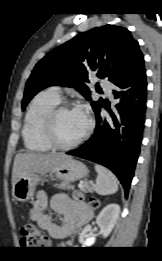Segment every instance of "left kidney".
I'll list each match as a JSON object with an SVG mask.
<instances>
[{"label": "left kidney", "instance_id": "5707ae66", "mask_svg": "<svg viewBox=\"0 0 162 261\" xmlns=\"http://www.w3.org/2000/svg\"><path fill=\"white\" fill-rule=\"evenodd\" d=\"M120 213V206L118 204H109L103 208L96 223L99 226L102 236L106 238L113 230Z\"/></svg>", "mask_w": 162, "mask_h": 261}]
</instances>
